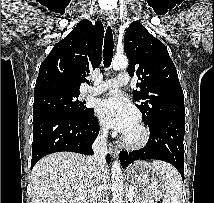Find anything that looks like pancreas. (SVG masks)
<instances>
[{"label":"pancreas","instance_id":"1","mask_svg":"<svg viewBox=\"0 0 214 203\" xmlns=\"http://www.w3.org/2000/svg\"><path fill=\"white\" fill-rule=\"evenodd\" d=\"M134 196H135V193H134ZM131 203H134V201H132Z\"/></svg>","mask_w":214,"mask_h":203}]
</instances>
